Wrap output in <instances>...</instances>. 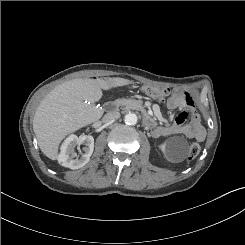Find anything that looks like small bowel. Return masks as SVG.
I'll return each instance as SVG.
<instances>
[{"instance_id":"small-bowel-1","label":"small bowel","mask_w":245,"mask_h":245,"mask_svg":"<svg viewBox=\"0 0 245 245\" xmlns=\"http://www.w3.org/2000/svg\"><path fill=\"white\" fill-rule=\"evenodd\" d=\"M165 107L170 110H180V113L173 122L165 126H151L153 136L181 134L197 142L205 139L206 130L201 123L200 115L195 110L193 98L188 92H174L165 102Z\"/></svg>"}]
</instances>
